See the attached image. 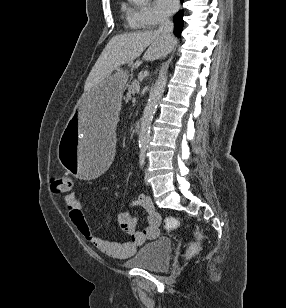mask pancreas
Wrapping results in <instances>:
<instances>
[{"label":"pancreas","instance_id":"1","mask_svg":"<svg viewBox=\"0 0 286 308\" xmlns=\"http://www.w3.org/2000/svg\"><path fill=\"white\" fill-rule=\"evenodd\" d=\"M140 86L139 80H134L131 85L128 86V93L127 96L134 95L136 93V87Z\"/></svg>","mask_w":286,"mask_h":308}]
</instances>
